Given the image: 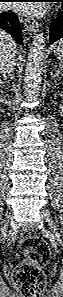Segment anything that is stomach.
Returning a JSON list of instances; mask_svg holds the SVG:
<instances>
[{"label":"stomach","instance_id":"1","mask_svg":"<svg viewBox=\"0 0 63 297\" xmlns=\"http://www.w3.org/2000/svg\"><path fill=\"white\" fill-rule=\"evenodd\" d=\"M54 54L57 59L63 60V41H60L57 44H55Z\"/></svg>","mask_w":63,"mask_h":297}]
</instances>
